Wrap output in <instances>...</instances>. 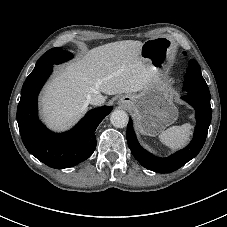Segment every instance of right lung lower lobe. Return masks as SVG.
<instances>
[{
    "mask_svg": "<svg viewBox=\"0 0 227 227\" xmlns=\"http://www.w3.org/2000/svg\"><path fill=\"white\" fill-rule=\"evenodd\" d=\"M53 65L28 76L21 90L17 122L26 149L49 167L75 166L91 156L96 147L95 130L112 107L93 109L69 132L56 134L38 119L37 96L51 74Z\"/></svg>",
    "mask_w": 227,
    "mask_h": 227,
    "instance_id": "1",
    "label": "right lung lower lobe"
}]
</instances>
